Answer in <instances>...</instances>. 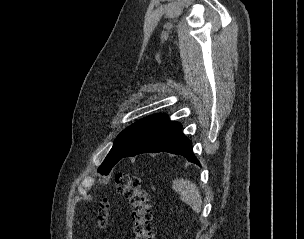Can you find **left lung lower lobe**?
I'll return each mask as SVG.
<instances>
[{"instance_id":"obj_1","label":"left lung lower lobe","mask_w":304,"mask_h":239,"mask_svg":"<svg viewBox=\"0 0 304 239\" xmlns=\"http://www.w3.org/2000/svg\"><path fill=\"white\" fill-rule=\"evenodd\" d=\"M169 152L184 156L189 162L200 165L192 151V143L181 131V124L170 121L136 144L124 157L141 153ZM121 158V159H122Z\"/></svg>"}]
</instances>
